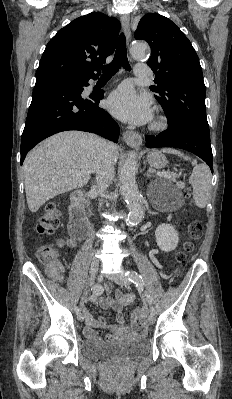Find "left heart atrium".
Listing matches in <instances>:
<instances>
[{
  "mask_svg": "<svg viewBox=\"0 0 232 399\" xmlns=\"http://www.w3.org/2000/svg\"><path fill=\"white\" fill-rule=\"evenodd\" d=\"M107 109L118 120L132 125L148 124L154 117L149 97L138 95L128 86L119 87L110 95Z\"/></svg>",
  "mask_w": 232,
  "mask_h": 399,
  "instance_id": "39dd6f15",
  "label": "left heart atrium"
}]
</instances>
